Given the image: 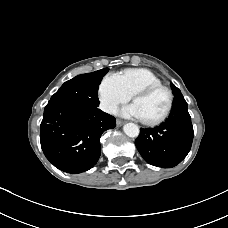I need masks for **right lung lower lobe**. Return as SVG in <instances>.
Segmentation results:
<instances>
[{"label": "right lung lower lobe", "mask_w": 228, "mask_h": 228, "mask_svg": "<svg viewBox=\"0 0 228 228\" xmlns=\"http://www.w3.org/2000/svg\"><path fill=\"white\" fill-rule=\"evenodd\" d=\"M116 126V119L100 109H76L48 104L40 126L46 158L58 169L81 173L92 168L101 153L102 133Z\"/></svg>", "instance_id": "98d812e1"}]
</instances>
